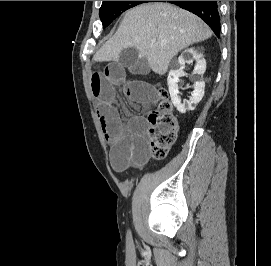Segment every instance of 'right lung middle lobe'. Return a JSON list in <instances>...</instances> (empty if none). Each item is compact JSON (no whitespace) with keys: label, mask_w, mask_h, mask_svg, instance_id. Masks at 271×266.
Wrapping results in <instances>:
<instances>
[{"label":"right lung middle lobe","mask_w":271,"mask_h":266,"mask_svg":"<svg viewBox=\"0 0 271 266\" xmlns=\"http://www.w3.org/2000/svg\"><path fill=\"white\" fill-rule=\"evenodd\" d=\"M150 1H103L99 10L100 19L103 28L107 27L115 18L120 16L124 11Z\"/></svg>","instance_id":"right-lung-middle-lobe-1"}]
</instances>
